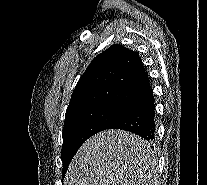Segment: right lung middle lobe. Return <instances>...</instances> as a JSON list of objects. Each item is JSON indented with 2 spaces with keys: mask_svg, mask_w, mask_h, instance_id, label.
Masks as SVG:
<instances>
[{
  "mask_svg": "<svg viewBox=\"0 0 207 185\" xmlns=\"http://www.w3.org/2000/svg\"><path fill=\"white\" fill-rule=\"evenodd\" d=\"M121 111L120 108L104 105L87 108L65 118L61 151L63 176L79 147L92 135L107 129Z\"/></svg>",
  "mask_w": 207,
  "mask_h": 185,
  "instance_id": "dd1d6c3e",
  "label": "right lung middle lobe"
}]
</instances>
